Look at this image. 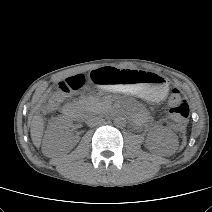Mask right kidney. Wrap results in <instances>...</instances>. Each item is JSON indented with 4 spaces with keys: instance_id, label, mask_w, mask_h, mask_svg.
I'll return each mask as SVG.
<instances>
[{
    "instance_id": "ca27d5eb",
    "label": "right kidney",
    "mask_w": 212,
    "mask_h": 212,
    "mask_svg": "<svg viewBox=\"0 0 212 212\" xmlns=\"http://www.w3.org/2000/svg\"><path fill=\"white\" fill-rule=\"evenodd\" d=\"M62 130L63 126L55 124L51 130L47 131L42 145V152L44 155L53 157L67 153L79 141V138L76 136L60 138Z\"/></svg>"
}]
</instances>
